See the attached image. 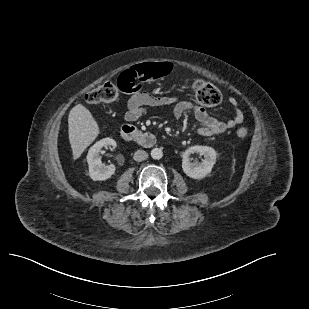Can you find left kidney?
<instances>
[{
    "instance_id": "5707ae66",
    "label": "left kidney",
    "mask_w": 309,
    "mask_h": 309,
    "mask_svg": "<svg viewBox=\"0 0 309 309\" xmlns=\"http://www.w3.org/2000/svg\"><path fill=\"white\" fill-rule=\"evenodd\" d=\"M193 153L203 155L204 159L199 163H191L189 156ZM216 162V151L209 146H192L182 154V169L184 173L193 179H202L211 173Z\"/></svg>"
}]
</instances>
